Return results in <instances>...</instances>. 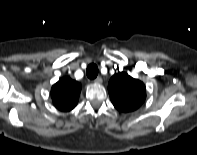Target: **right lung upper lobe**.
<instances>
[{
  "label": "right lung upper lobe",
  "instance_id": "right-lung-upper-lobe-1",
  "mask_svg": "<svg viewBox=\"0 0 197 155\" xmlns=\"http://www.w3.org/2000/svg\"><path fill=\"white\" fill-rule=\"evenodd\" d=\"M80 91V83L69 77L62 78L52 86V101L59 110L70 111L77 105Z\"/></svg>",
  "mask_w": 197,
  "mask_h": 155
}]
</instances>
